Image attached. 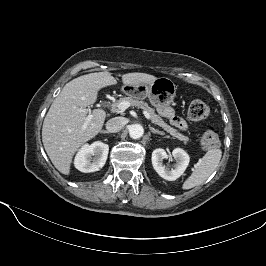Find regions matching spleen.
Masks as SVG:
<instances>
[{"mask_svg": "<svg viewBox=\"0 0 266 266\" xmlns=\"http://www.w3.org/2000/svg\"><path fill=\"white\" fill-rule=\"evenodd\" d=\"M222 157L219 148H211L196 163L192 174L185 180L182 189L188 190L202 184L218 167Z\"/></svg>", "mask_w": 266, "mask_h": 266, "instance_id": "obj_1", "label": "spleen"}]
</instances>
